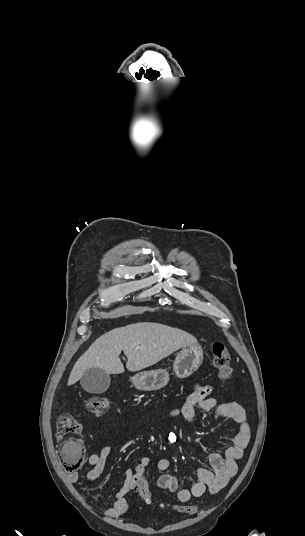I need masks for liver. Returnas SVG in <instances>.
<instances>
[{"label": "liver", "instance_id": "obj_1", "mask_svg": "<svg viewBox=\"0 0 305 536\" xmlns=\"http://www.w3.org/2000/svg\"><path fill=\"white\" fill-rule=\"evenodd\" d=\"M193 344H197L194 336L163 324L139 322L125 328H115L100 336L87 352L80 356L72 368L67 386L76 384L89 368H101L106 374H123L125 370L119 358L122 350L127 358V370L139 372L143 368L154 366L183 346ZM137 346L139 348L135 350Z\"/></svg>", "mask_w": 305, "mask_h": 536}]
</instances>
